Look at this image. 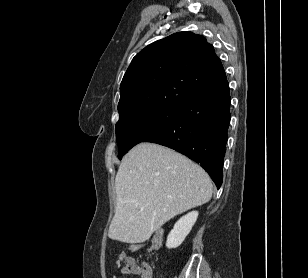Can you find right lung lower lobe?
<instances>
[{"label":"right lung lower lobe","instance_id":"right-lung-lower-lobe-1","mask_svg":"<svg viewBox=\"0 0 308 278\" xmlns=\"http://www.w3.org/2000/svg\"><path fill=\"white\" fill-rule=\"evenodd\" d=\"M228 82L178 108V114L143 142L170 147L200 163L220 188L231 118Z\"/></svg>","mask_w":308,"mask_h":278}]
</instances>
